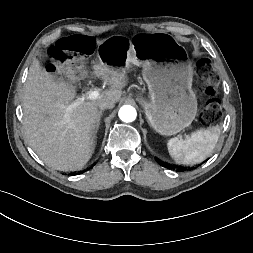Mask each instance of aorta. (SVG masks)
<instances>
[{"label": "aorta", "mask_w": 253, "mask_h": 253, "mask_svg": "<svg viewBox=\"0 0 253 253\" xmlns=\"http://www.w3.org/2000/svg\"><path fill=\"white\" fill-rule=\"evenodd\" d=\"M119 118L126 123L133 122L137 117L136 109L131 105H124L119 110Z\"/></svg>", "instance_id": "1"}]
</instances>
